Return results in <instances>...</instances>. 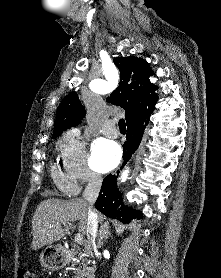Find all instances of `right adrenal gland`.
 <instances>
[{"label":"right adrenal gland","mask_w":221,"mask_h":278,"mask_svg":"<svg viewBox=\"0 0 221 278\" xmlns=\"http://www.w3.org/2000/svg\"><path fill=\"white\" fill-rule=\"evenodd\" d=\"M112 237L111 232L109 230L100 229L99 231V247L103 245L104 241L108 238Z\"/></svg>","instance_id":"1"}]
</instances>
